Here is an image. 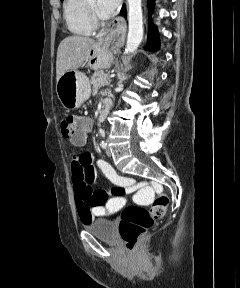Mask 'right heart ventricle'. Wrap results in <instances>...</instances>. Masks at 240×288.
<instances>
[{
	"instance_id": "right-heart-ventricle-1",
	"label": "right heart ventricle",
	"mask_w": 240,
	"mask_h": 288,
	"mask_svg": "<svg viewBox=\"0 0 240 288\" xmlns=\"http://www.w3.org/2000/svg\"><path fill=\"white\" fill-rule=\"evenodd\" d=\"M86 0H65L63 10L68 29L76 35H90L93 27L89 21Z\"/></svg>"
}]
</instances>
